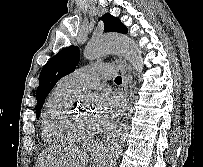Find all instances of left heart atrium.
<instances>
[{
	"instance_id": "obj_1",
	"label": "left heart atrium",
	"mask_w": 203,
	"mask_h": 167,
	"mask_svg": "<svg viewBox=\"0 0 203 167\" xmlns=\"http://www.w3.org/2000/svg\"><path fill=\"white\" fill-rule=\"evenodd\" d=\"M122 101L117 94L103 92L98 99V108L95 115L97 129L108 126L118 115Z\"/></svg>"
}]
</instances>
